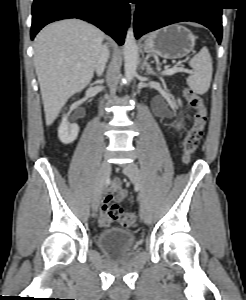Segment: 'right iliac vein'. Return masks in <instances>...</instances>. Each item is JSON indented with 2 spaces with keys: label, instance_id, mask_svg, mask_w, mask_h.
I'll return each instance as SVG.
<instances>
[{
  "label": "right iliac vein",
  "instance_id": "63e3f726",
  "mask_svg": "<svg viewBox=\"0 0 246 300\" xmlns=\"http://www.w3.org/2000/svg\"><path fill=\"white\" fill-rule=\"evenodd\" d=\"M111 172V166L110 163L106 160H104L99 168L98 172V177H97V182H96V187H95V192H94V199H93V213H96L98 211L101 197H102V192H103V187L105 185L106 180L108 179L109 175Z\"/></svg>",
  "mask_w": 246,
  "mask_h": 300
}]
</instances>
